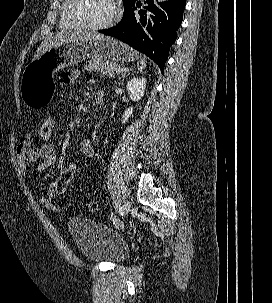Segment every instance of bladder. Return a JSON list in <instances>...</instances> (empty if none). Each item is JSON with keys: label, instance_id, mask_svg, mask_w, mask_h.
Wrapping results in <instances>:
<instances>
[{"label": "bladder", "instance_id": "31cf9c89", "mask_svg": "<svg viewBox=\"0 0 272 303\" xmlns=\"http://www.w3.org/2000/svg\"><path fill=\"white\" fill-rule=\"evenodd\" d=\"M67 229L81 255L91 262L119 263L126 259V241L109 226L85 217H71Z\"/></svg>", "mask_w": 272, "mask_h": 303}]
</instances>
